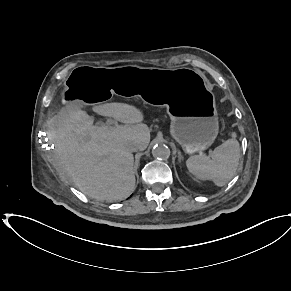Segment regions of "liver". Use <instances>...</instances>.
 I'll return each mask as SVG.
<instances>
[{"label":"liver","instance_id":"6515ba94","mask_svg":"<svg viewBox=\"0 0 291 291\" xmlns=\"http://www.w3.org/2000/svg\"><path fill=\"white\" fill-rule=\"evenodd\" d=\"M93 111L124 125L95 126L94 119L77 105L68 104L54 117L48 133L55 145L61 171L87 196L102 201L126 199L135 189L134 157L150 142V131L142 123L143 113L126 103L93 104Z\"/></svg>","mask_w":291,"mask_h":291}]
</instances>
